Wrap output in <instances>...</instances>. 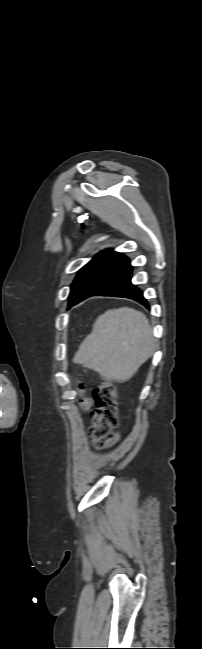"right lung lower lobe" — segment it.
<instances>
[{"instance_id":"obj_1","label":"right lung lower lobe","mask_w":202,"mask_h":649,"mask_svg":"<svg viewBox=\"0 0 202 649\" xmlns=\"http://www.w3.org/2000/svg\"><path fill=\"white\" fill-rule=\"evenodd\" d=\"M132 271L129 258L117 256L87 284L78 302L93 295H103L130 298L149 308L143 292L131 282Z\"/></svg>"}]
</instances>
